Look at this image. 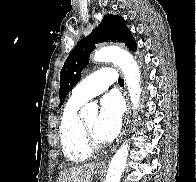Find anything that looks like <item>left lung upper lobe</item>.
<instances>
[{"label":"left lung upper lobe","instance_id":"1","mask_svg":"<svg viewBox=\"0 0 196 182\" xmlns=\"http://www.w3.org/2000/svg\"><path fill=\"white\" fill-rule=\"evenodd\" d=\"M110 41L124 43L129 50H136V42L124 18L112 14L104 15L100 25L77 44L63 65L60 73L59 107L62 106L66 95L79 82L81 71L87 66L95 44Z\"/></svg>","mask_w":196,"mask_h":182}]
</instances>
